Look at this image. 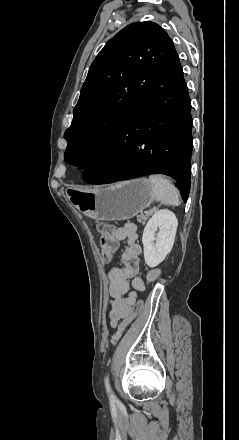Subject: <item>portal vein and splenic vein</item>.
<instances>
[{"instance_id": "portal-vein-and-splenic-vein-1", "label": "portal vein and splenic vein", "mask_w": 239, "mask_h": 440, "mask_svg": "<svg viewBox=\"0 0 239 440\" xmlns=\"http://www.w3.org/2000/svg\"><path fill=\"white\" fill-rule=\"evenodd\" d=\"M157 205H158V206H162L163 204H162V203H158Z\"/></svg>"}]
</instances>
